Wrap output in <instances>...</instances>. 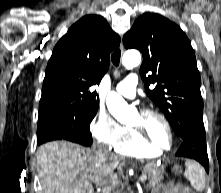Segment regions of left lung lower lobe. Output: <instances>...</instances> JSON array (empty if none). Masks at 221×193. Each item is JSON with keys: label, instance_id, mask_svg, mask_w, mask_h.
Returning <instances> with one entry per match:
<instances>
[{"label": "left lung lower lobe", "instance_id": "0a47b994", "mask_svg": "<svg viewBox=\"0 0 221 193\" xmlns=\"http://www.w3.org/2000/svg\"><path fill=\"white\" fill-rule=\"evenodd\" d=\"M177 156L195 159L209 172L205 131H196L185 137L178 149Z\"/></svg>", "mask_w": 221, "mask_h": 193}]
</instances>
